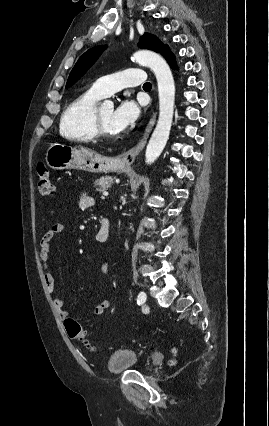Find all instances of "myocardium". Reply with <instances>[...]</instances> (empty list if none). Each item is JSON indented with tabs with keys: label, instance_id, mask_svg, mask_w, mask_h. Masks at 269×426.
Returning <instances> with one entry per match:
<instances>
[{
	"label": "myocardium",
	"instance_id": "obj_1",
	"mask_svg": "<svg viewBox=\"0 0 269 426\" xmlns=\"http://www.w3.org/2000/svg\"><path fill=\"white\" fill-rule=\"evenodd\" d=\"M93 127L95 130V137L99 138L101 140H112L115 139L117 136L116 135H111L109 134L105 128L102 125V122L100 120V116H99V110L95 109L94 114H93Z\"/></svg>",
	"mask_w": 269,
	"mask_h": 426
}]
</instances>
